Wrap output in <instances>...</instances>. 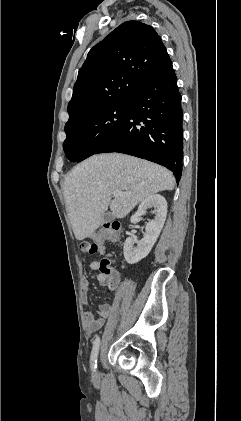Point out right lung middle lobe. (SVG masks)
<instances>
[{"instance_id":"obj_1","label":"right lung middle lobe","mask_w":241,"mask_h":421,"mask_svg":"<svg viewBox=\"0 0 241 421\" xmlns=\"http://www.w3.org/2000/svg\"><path fill=\"white\" fill-rule=\"evenodd\" d=\"M128 101H122L95 111L65 127L63 143L66 157L80 162L95 154L124 125Z\"/></svg>"}]
</instances>
